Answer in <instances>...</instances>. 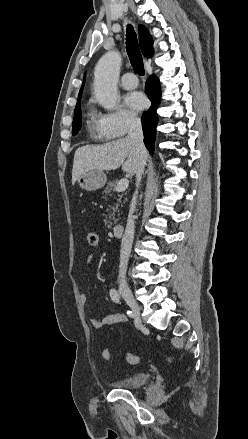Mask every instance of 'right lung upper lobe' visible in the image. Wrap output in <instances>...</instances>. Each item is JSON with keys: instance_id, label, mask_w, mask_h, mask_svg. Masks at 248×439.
<instances>
[{"instance_id": "obj_1", "label": "right lung upper lobe", "mask_w": 248, "mask_h": 439, "mask_svg": "<svg viewBox=\"0 0 248 439\" xmlns=\"http://www.w3.org/2000/svg\"><path fill=\"white\" fill-rule=\"evenodd\" d=\"M138 30H139V43H140V47H141L142 53H143V55L145 57L150 58L152 56V54H153V50H152L153 40H152V37H151L149 31L146 29L145 26L139 25ZM83 86H84V83H83V85H82V87L80 89V92H79L78 102L76 104L75 111L80 109V106H81L80 99H81V95H82Z\"/></svg>"}]
</instances>
